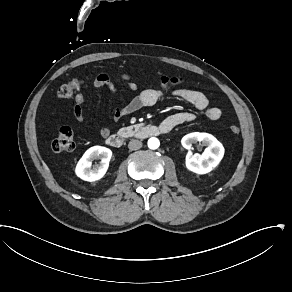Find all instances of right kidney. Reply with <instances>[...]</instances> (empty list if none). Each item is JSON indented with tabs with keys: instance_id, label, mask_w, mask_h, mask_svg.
<instances>
[{
	"instance_id": "obj_1",
	"label": "right kidney",
	"mask_w": 292,
	"mask_h": 292,
	"mask_svg": "<svg viewBox=\"0 0 292 292\" xmlns=\"http://www.w3.org/2000/svg\"><path fill=\"white\" fill-rule=\"evenodd\" d=\"M112 151L106 147L94 146L89 148L75 166V174L84 181L95 182L105 176L109 168ZM101 159L99 165L91 167L92 161Z\"/></svg>"
}]
</instances>
